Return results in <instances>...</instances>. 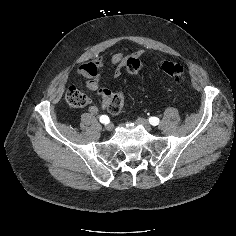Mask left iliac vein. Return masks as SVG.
<instances>
[{"label": "left iliac vein", "instance_id": "left-iliac-vein-1", "mask_svg": "<svg viewBox=\"0 0 236 236\" xmlns=\"http://www.w3.org/2000/svg\"><path fill=\"white\" fill-rule=\"evenodd\" d=\"M137 122L140 123L141 125H143L147 131L152 130L151 125L149 124V122L146 119L138 118Z\"/></svg>", "mask_w": 236, "mask_h": 236}]
</instances>
